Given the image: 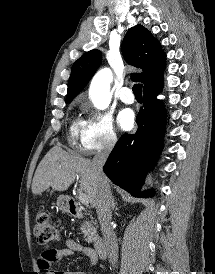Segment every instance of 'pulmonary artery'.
<instances>
[{
  "instance_id": "e3ab8cb5",
  "label": "pulmonary artery",
  "mask_w": 215,
  "mask_h": 274,
  "mask_svg": "<svg viewBox=\"0 0 215 274\" xmlns=\"http://www.w3.org/2000/svg\"><path fill=\"white\" fill-rule=\"evenodd\" d=\"M118 95L120 100L126 104H132L135 101L134 95L129 87H122Z\"/></svg>"
}]
</instances>
